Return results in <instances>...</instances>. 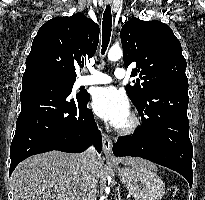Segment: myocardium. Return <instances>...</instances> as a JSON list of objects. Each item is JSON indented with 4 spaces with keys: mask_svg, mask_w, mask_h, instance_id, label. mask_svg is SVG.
<instances>
[{
    "mask_svg": "<svg viewBox=\"0 0 205 200\" xmlns=\"http://www.w3.org/2000/svg\"><path fill=\"white\" fill-rule=\"evenodd\" d=\"M141 126V120L136 113L129 114L128 123L119 127L118 133L122 136H132L138 132Z\"/></svg>",
    "mask_w": 205,
    "mask_h": 200,
    "instance_id": "1",
    "label": "myocardium"
}]
</instances>
